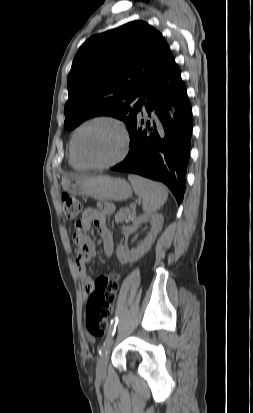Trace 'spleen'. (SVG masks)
<instances>
[{
    "label": "spleen",
    "mask_w": 253,
    "mask_h": 413,
    "mask_svg": "<svg viewBox=\"0 0 253 413\" xmlns=\"http://www.w3.org/2000/svg\"><path fill=\"white\" fill-rule=\"evenodd\" d=\"M129 181L134 192L142 199L143 210L152 214L160 209L168 198L167 189L160 183L130 174Z\"/></svg>",
    "instance_id": "obj_1"
}]
</instances>
